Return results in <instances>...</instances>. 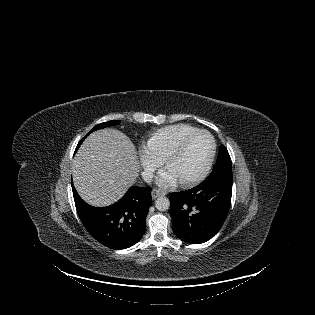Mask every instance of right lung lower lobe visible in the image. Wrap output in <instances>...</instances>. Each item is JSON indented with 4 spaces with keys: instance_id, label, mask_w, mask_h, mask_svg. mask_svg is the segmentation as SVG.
Segmentation results:
<instances>
[{
    "instance_id": "right-lung-lower-lobe-1",
    "label": "right lung lower lobe",
    "mask_w": 315,
    "mask_h": 315,
    "mask_svg": "<svg viewBox=\"0 0 315 315\" xmlns=\"http://www.w3.org/2000/svg\"><path fill=\"white\" fill-rule=\"evenodd\" d=\"M78 215L87 231L104 246L121 250L136 244L146 230L151 188L131 187L116 203L102 208L84 202L72 184Z\"/></svg>"
}]
</instances>
